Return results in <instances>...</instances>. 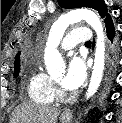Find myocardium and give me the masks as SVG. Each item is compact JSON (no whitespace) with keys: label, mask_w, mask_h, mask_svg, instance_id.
Segmentation results:
<instances>
[{"label":"myocardium","mask_w":122,"mask_h":123,"mask_svg":"<svg viewBox=\"0 0 122 123\" xmlns=\"http://www.w3.org/2000/svg\"><path fill=\"white\" fill-rule=\"evenodd\" d=\"M54 83V94L58 100L68 101L74 98V94L69 93L65 90L58 81H53Z\"/></svg>","instance_id":"1"}]
</instances>
